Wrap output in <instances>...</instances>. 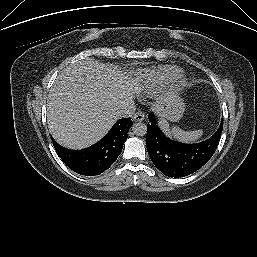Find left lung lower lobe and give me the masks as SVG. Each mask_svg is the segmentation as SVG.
<instances>
[{"instance_id": "0a47b994", "label": "left lung lower lobe", "mask_w": 257, "mask_h": 257, "mask_svg": "<svg viewBox=\"0 0 257 257\" xmlns=\"http://www.w3.org/2000/svg\"><path fill=\"white\" fill-rule=\"evenodd\" d=\"M146 147L153 164L169 177H184L204 166L214 154L223 130V121L217 131L199 143H181L168 138L159 128L154 113L149 114Z\"/></svg>"}]
</instances>
